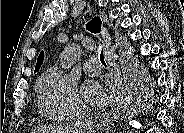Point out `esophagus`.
I'll list each match as a JSON object with an SVG mask.
<instances>
[{
	"label": "esophagus",
	"instance_id": "obj_1",
	"mask_svg": "<svg viewBox=\"0 0 184 133\" xmlns=\"http://www.w3.org/2000/svg\"><path fill=\"white\" fill-rule=\"evenodd\" d=\"M103 38L107 42V39H108L107 33H103ZM103 46H105L104 43H103ZM106 47L108 48V44L105 46V49H106Z\"/></svg>",
	"mask_w": 184,
	"mask_h": 133
}]
</instances>
